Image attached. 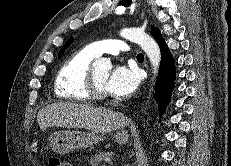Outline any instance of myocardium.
I'll return each instance as SVG.
<instances>
[{"instance_id": "obj_1", "label": "myocardium", "mask_w": 231, "mask_h": 166, "mask_svg": "<svg viewBox=\"0 0 231 166\" xmlns=\"http://www.w3.org/2000/svg\"><path fill=\"white\" fill-rule=\"evenodd\" d=\"M87 90L90 99H105L107 97L106 91L97 82L92 67H90L87 77Z\"/></svg>"}]
</instances>
